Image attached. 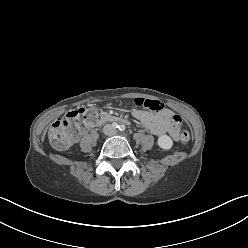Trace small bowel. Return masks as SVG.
<instances>
[{"mask_svg": "<svg viewBox=\"0 0 248 248\" xmlns=\"http://www.w3.org/2000/svg\"><path fill=\"white\" fill-rule=\"evenodd\" d=\"M132 115L142 123L148 132L155 136L168 134L173 140L180 138L179 126L174 120L175 114L170 110L152 113L136 109L132 112Z\"/></svg>", "mask_w": 248, "mask_h": 248, "instance_id": "obj_1", "label": "small bowel"}]
</instances>
